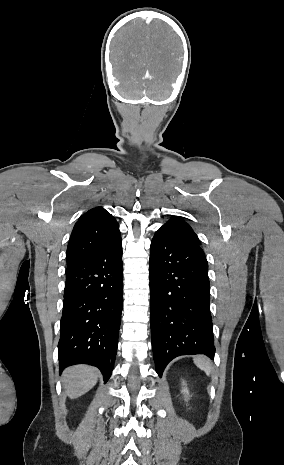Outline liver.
Listing matches in <instances>:
<instances>
[{"mask_svg": "<svg viewBox=\"0 0 284 465\" xmlns=\"http://www.w3.org/2000/svg\"><path fill=\"white\" fill-rule=\"evenodd\" d=\"M99 377L98 369L88 365H77L66 369L62 383L66 389L69 399H78L85 395L97 383Z\"/></svg>", "mask_w": 284, "mask_h": 465, "instance_id": "liver-1", "label": "liver"}]
</instances>
